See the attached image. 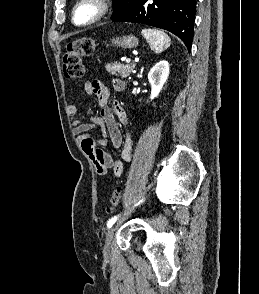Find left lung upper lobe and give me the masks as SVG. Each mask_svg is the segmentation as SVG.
Masks as SVG:
<instances>
[{"label": "left lung upper lobe", "mask_w": 259, "mask_h": 294, "mask_svg": "<svg viewBox=\"0 0 259 294\" xmlns=\"http://www.w3.org/2000/svg\"><path fill=\"white\" fill-rule=\"evenodd\" d=\"M114 2V13L112 17L119 15L120 13L131 8L136 0H113Z\"/></svg>", "instance_id": "1"}]
</instances>
